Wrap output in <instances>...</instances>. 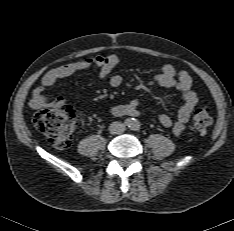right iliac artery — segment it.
<instances>
[{"mask_svg": "<svg viewBox=\"0 0 234 231\" xmlns=\"http://www.w3.org/2000/svg\"><path fill=\"white\" fill-rule=\"evenodd\" d=\"M125 124L129 125V126L132 125V120L131 119H126Z\"/></svg>", "mask_w": 234, "mask_h": 231, "instance_id": "right-iliac-artery-1", "label": "right iliac artery"}]
</instances>
